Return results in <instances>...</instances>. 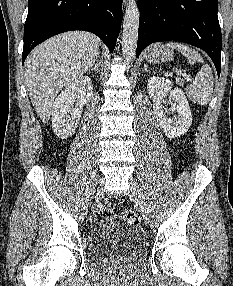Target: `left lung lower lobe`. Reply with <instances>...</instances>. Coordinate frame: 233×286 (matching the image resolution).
<instances>
[{
	"label": "left lung lower lobe",
	"instance_id": "obj_1",
	"mask_svg": "<svg viewBox=\"0 0 233 286\" xmlns=\"http://www.w3.org/2000/svg\"><path fill=\"white\" fill-rule=\"evenodd\" d=\"M136 56L153 42L180 41L203 49L221 71V29L217 0H138Z\"/></svg>",
	"mask_w": 233,
	"mask_h": 286
}]
</instances>
